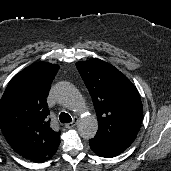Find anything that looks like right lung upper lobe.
I'll return each instance as SVG.
<instances>
[{
	"mask_svg": "<svg viewBox=\"0 0 171 171\" xmlns=\"http://www.w3.org/2000/svg\"><path fill=\"white\" fill-rule=\"evenodd\" d=\"M59 69L34 63L16 74L0 100V128L13 150L34 162L49 160L60 144L51 129L46 103L50 84Z\"/></svg>",
	"mask_w": 171,
	"mask_h": 171,
	"instance_id": "right-lung-upper-lobe-1",
	"label": "right lung upper lobe"
}]
</instances>
